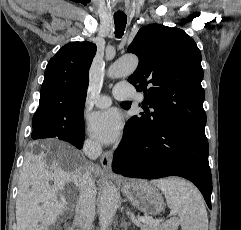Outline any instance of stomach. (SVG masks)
Masks as SVG:
<instances>
[{"label":"stomach","instance_id":"obj_1","mask_svg":"<svg viewBox=\"0 0 241 230\" xmlns=\"http://www.w3.org/2000/svg\"><path fill=\"white\" fill-rule=\"evenodd\" d=\"M126 198L147 215H158L164 211V199L161 193L144 180H131L122 183Z\"/></svg>","mask_w":241,"mask_h":230}]
</instances>
